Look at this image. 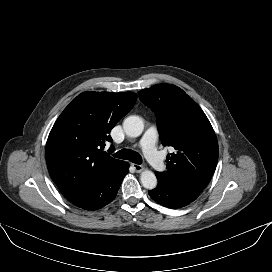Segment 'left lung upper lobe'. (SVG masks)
I'll return each mask as SVG.
<instances>
[{"label": "left lung upper lobe", "instance_id": "5c2ea615", "mask_svg": "<svg viewBox=\"0 0 272 272\" xmlns=\"http://www.w3.org/2000/svg\"><path fill=\"white\" fill-rule=\"evenodd\" d=\"M138 95L157 116L162 144L176 150L167 156V171L155 174L204 190L216 169L218 142L202 109L171 84H157Z\"/></svg>", "mask_w": 272, "mask_h": 272}]
</instances>
